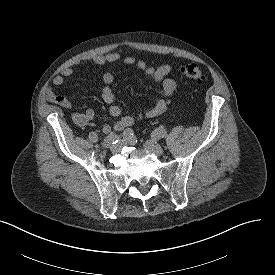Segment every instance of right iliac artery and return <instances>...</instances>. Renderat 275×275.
<instances>
[{"label":"right iliac artery","mask_w":275,"mask_h":275,"mask_svg":"<svg viewBox=\"0 0 275 275\" xmlns=\"http://www.w3.org/2000/svg\"><path fill=\"white\" fill-rule=\"evenodd\" d=\"M134 133L132 131V129H126L124 130V132L121 134V135H114V134H110L108 135L105 139H104V142L106 144H115L118 142L119 139H131L133 137ZM89 139L92 141V142H98V136L95 132H91L89 134Z\"/></svg>","instance_id":"1"}]
</instances>
